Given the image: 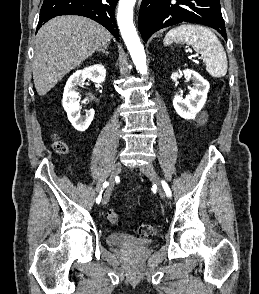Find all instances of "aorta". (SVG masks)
I'll return each mask as SVG.
<instances>
[{
	"label": "aorta",
	"instance_id": "1",
	"mask_svg": "<svg viewBox=\"0 0 259 294\" xmlns=\"http://www.w3.org/2000/svg\"><path fill=\"white\" fill-rule=\"evenodd\" d=\"M136 0H119L117 22L134 65L142 75L147 74L146 55L133 23Z\"/></svg>",
	"mask_w": 259,
	"mask_h": 294
}]
</instances>
